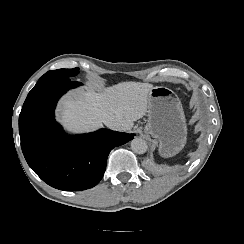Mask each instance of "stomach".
<instances>
[{
    "instance_id": "1",
    "label": "stomach",
    "mask_w": 244,
    "mask_h": 244,
    "mask_svg": "<svg viewBox=\"0 0 244 244\" xmlns=\"http://www.w3.org/2000/svg\"><path fill=\"white\" fill-rule=\"evenodd\" d=\"M148 122L144 132L159 142L164 157L178 153L186 142V123L180 99L167 87H154L149 92Z\"/></svg>"
}]
</instances>
